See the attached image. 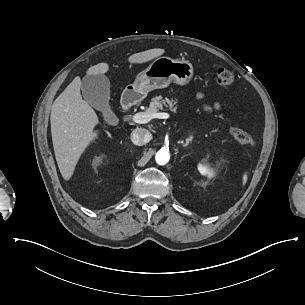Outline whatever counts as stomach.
<instances>
[{"label":"stomach","mask_w":305,"mask_h":305,"mask_svg":"<svg viewBox=\"0 0 305 305\" xmlns=\"http://www.w3.org/2000/svg\"><path fill=\"white\" fill-rule=\"evenodd\" d=\"M194 76V68L186 59L158 57L136 77L133 85L126 87L129 100H142L149 91L166 88L171 81L179 86L188 85Z\"/></svg>","instance_id":"0dacf381"}]
</instances>
